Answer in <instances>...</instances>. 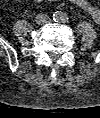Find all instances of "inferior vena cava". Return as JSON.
I'll return each instance as SVG.
<instances>
[{
	"label": "inferior vena cava",
	"mask_w": 100,
	"mask_h": 118,
	"mask_svg": "<svg viewBox=\"0 0 100 118\" xmlns=\"http://www.w3.org/2000/svg\"><path fill=\"white\" fill-rule=\"evenodd\" d=\"M37 24H45L48 23L50 18L46 14H38L36 17Z\"/></svg>",
	"instance_id": "obj_1"
}]
</instances>
